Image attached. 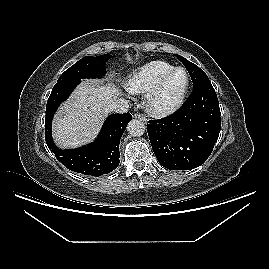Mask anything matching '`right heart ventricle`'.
<instances>
[{
  "label": "right heart ventricle",
  "instance_id": "obj_1",
  "mask_svg": "<svg viewBox=\"0 0 269 269\" xmlns=\"http://www.w3.org/2000/svg\"><path fill=\"white\" fill-rule=\"evenodd\" d=\"M175 68L164 60L150 61L133 70L125 80L126 89L133 94L147 93L168 72Z\"/></svg>",
  "mask_w": 269,
  "mask_h": 269
}]
</instances>
